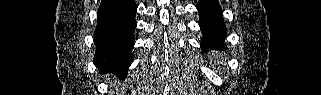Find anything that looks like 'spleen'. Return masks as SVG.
<instances>
[{
  "label": "spleen",
  "mask_w": 321,
  "mask_h": 95,
  "mask_svg": "<svg viewBox=\"0 0 321 95\" xmlns=\"http://www.w3.org/2000/svg\"><path fill=\"white\" fill-rule=\"evenodd\" d=\"M213 59L215 60L216 63L222 64L223 63V56L220 53H213L212 54Z\"/></svg>",
  "instance_id": "1"
}]
</instances>
